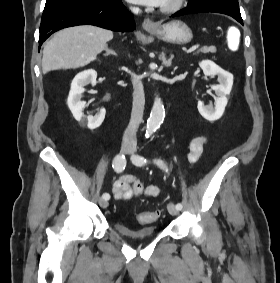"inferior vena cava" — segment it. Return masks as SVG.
Here are the masks:
<instances>
[{
  "mask_svg": "<svg viewBox=\"0 0 280 283\" xmlns=\"http://www.w3.org/2000/svg\"><path fill=\"white\" fill-rule=\"evenodd\" d=\"M131 11L138 14L140 10L138 7H131ZM132 84L134 92L131 119L124 132L122 143L123 145L136 146V132L143 118L145 97L143 84L138 77L132 78Z\"/></svg>",
  "mask_w": 280,
  "mask_h": 283,
  "instance_id": "obj_1",
  "label": "inferior vena cava"
}]
</instances>
